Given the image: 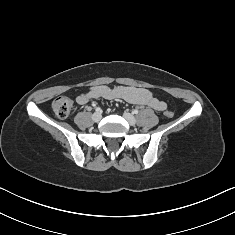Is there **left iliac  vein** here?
Listing matches in <instances>:
<instances>
[{
	"instance_id": "4c4485c4",
	"label": "left iliac vein",
	"mask_w": 235,
	"mask_h": 235,
	"mask_svg": "<svg viewBox=\"0 0 235 235\" xmlns=\"http://www.w3.org/2000/svg\"><path fill=\"white\" fill-rule=\"evenodd\" d=\"M123 117L126 119V121L130 124V125H135L136 124V118L129 112H124L123 113Z\"/></svg>"
}]
</instances>
